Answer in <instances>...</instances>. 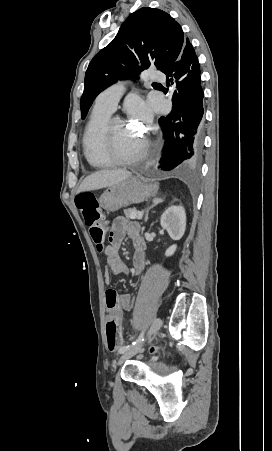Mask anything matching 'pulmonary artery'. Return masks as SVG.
Masks as SVG:
<instances>
[{"mask_svg": "<svg viewBox=\"0 0 272 451\" xmlns=\"http://www.w3.org/2000/svg\"><path fill=\"white\" fill-rule=\"evenodd\" d=\"M164 72L161 69H155L154 66H149L143 72V81L148 85H153L155 82H160L164 79ZM125 83L119 81L112 85L107 90L103 91L96 99V105L107 108L113 111L124 93Z\"/></svg>", "mask_w": 272, "mask_h": 451, "instance_id": "pulmonary-artery-1", "label": "pulmonary artery"}]
</instances>
